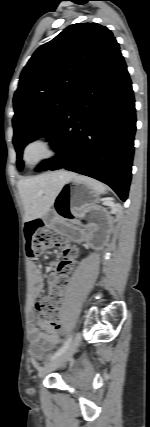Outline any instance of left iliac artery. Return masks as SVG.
I'll return each mask as SVG.
<instances>
[{"mask_svg":"<svg viewBox=\"0 0 150 427\" xmlns=\"http://www.w3.org/2000/svg\"><path fill=\"white\" fill-rule=\"evenodd\" d=\"M72 341V336H70L65 343L63 344V346L58 349L51 357H50V361L54 360L55 358H57L58 356H60L62 353H64L70 346Z\"/></svg>","mask_w":150,"mask_h":427,"instance_id":"1","label":"left iliac artery"}]
</instances>
